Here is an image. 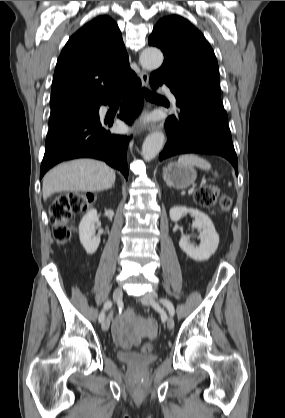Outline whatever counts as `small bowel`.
<instances>
[{
	"label": "small bowel",
	"instance_id": "1",
	"mask_svg": "<svg viewBox=\"0 0 285 418\" xmlns=\"http://www.w3.org/2000/svg\"><path fill=\"white\" fill-rule=\"evenodd\" d=\"M111 333L118 346L129 349L138 346L142 338H154L157 334V323L152 318L140 317L133 308H128L113 325Z\"/></svg>",
	"mask_w": 285,
	"mask_h": 418
}]
</instances>
